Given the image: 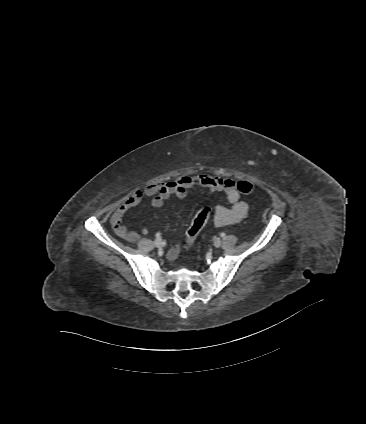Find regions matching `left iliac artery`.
<instances>
[{
    "mask_svg": "<svg viewBox=\"0 0 366 424\" xmlns=\"http://www.w3.org/2000/svg\"><path fill=\"white\" fill-rule=\"evenodd\" d=\"M225 235H226V234H225L224 232H222V233L220 234V236H221V237H225Z\"/></svg>",
    "mask_w": 366,
    "mask_h": 424,
    "instance_id": "left-iliac-artery-1",
    "label": "left iliac artery"
}]
</instances>
